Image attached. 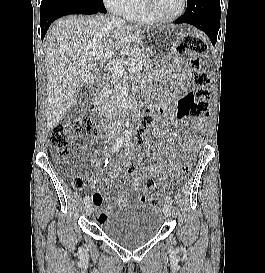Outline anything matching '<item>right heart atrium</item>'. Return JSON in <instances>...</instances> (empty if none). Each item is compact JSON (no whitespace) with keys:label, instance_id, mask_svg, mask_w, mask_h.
<instances>
[{"label":"right heart atrium","instance_id":"1","mask_svg":"<svg viewBox=\"0 0 265 273\" xmlns=\"http://www.w3.org/2000/svg\"><path fill=\"white\" fill-rule=\"evenodd\" d=\"M135 0H103L104 5L114 13L124 15Z\"/></svg>","mask_w":265,"mask_h":273}]
</instances>
